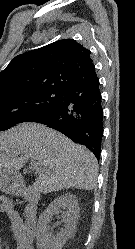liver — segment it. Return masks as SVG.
Instances as JSON below:
<instances>
[{
  "instance_id": "obj_1",
  "label": "liver",
  "mask_w": 135,
  "mask_h": 249,
  "mask_svg": "<svg viewBox=\"0 0 135 249\" xmlns=\"http://www.w3.org/2000/svg\"><path fill=\"white\" fill-rule=\"evenodd\" d=\"M38 163L34 189L47 194L67 188L92 190L98 162L85 146L42 124L23 123L0 133V168L18 172Z\"/></svg>"
}]
</instances>
